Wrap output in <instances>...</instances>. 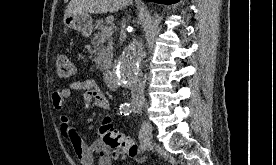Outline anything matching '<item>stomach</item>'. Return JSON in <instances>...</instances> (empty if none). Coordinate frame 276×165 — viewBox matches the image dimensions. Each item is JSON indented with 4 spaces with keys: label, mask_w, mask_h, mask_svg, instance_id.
<instances>
[{
    "label": "stomach",
    "mask_w": 276,
    "mask_h": 165,
    "mask_svg": "<svg viewBox=\"0 0 276 165\" xmlns=\"http://www.w3.org/2000/svg\"><path fill=\"white\" fill-rule=\"evenodd\" d=\"M63 23L67 28L74 29L86 37L92 33L93 21L88 14L69 15L63 19Z\"/></svg>",
    "instance_id": "1"
}]
</instances>
